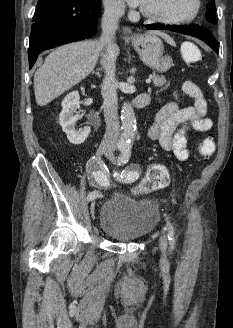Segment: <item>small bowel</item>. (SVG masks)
<instances>
[{
	"label": "small bowel",
	"instance_id": "obj_1",
	"mask_svg": "<svg viewBox=\"0 0 233 328\" xmlns=\"http://www.w3.org/2000/svg\"><path fill=\"white\" fill-rule=\"evenodd\" d=\"M182 90L194 100V105L181 107L177 102L165 103L155 115L148 137L157 141L162 149L172 152L178 160L185 161L189 156L187 132L190 129L207 132L213 122L206 117L207 102L200 88L185 81Z\"/></svg>",
	"mask_w": 233,
	"mask_h": 328
}]
</instances>
